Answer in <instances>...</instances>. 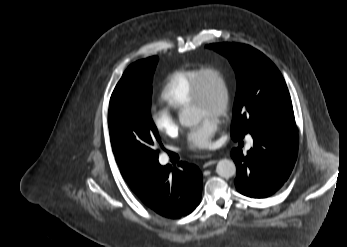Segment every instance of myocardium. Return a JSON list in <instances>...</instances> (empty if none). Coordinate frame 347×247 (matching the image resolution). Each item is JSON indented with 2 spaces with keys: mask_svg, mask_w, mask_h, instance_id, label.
<instances>
[{
  "mask_svg": "<svg viewBox=\"0 0 347 247\" xmlns=\"http://www.w3.org/2000/svg\"><path fill=\"white\" fill-rule=\"evenodd\" d=\"M209 75H214L218 79L222 90L221 102L215 114L218 117H225L228 115L232 104L231 84L222 69L213 65L203 66L199 69L192 88L189 106H203L206 103L205 80Z\"/></svg>",
  "mask_w": 347,
  "mask_h": 247,
  "instance_id": "obj_1",
  "label": "myocardium"
}]
</instances>
